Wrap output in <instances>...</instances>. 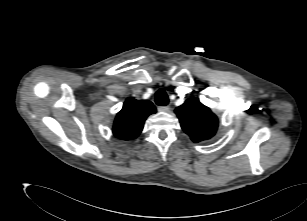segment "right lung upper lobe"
Listing matches in <instances>:
<instances>
[{"instance_id": "right-lung-upper-lobe-1", "label": "right lung upper lobe", "mask_w": 307, "mask_h": 221, "mask_svg": "<svg viewBox=\"0 0 307 221\" xmlns=\"http://www.w3.org/2000/svg\"><path fill=\"white\" fill-rule=\"evenodd\" d=\"M155 112L156 108L150 101L127 98L114 121L113 134L121 140L136 138L141 133L146 118Z\"/></svg>"}]
</instances>
